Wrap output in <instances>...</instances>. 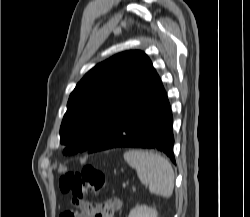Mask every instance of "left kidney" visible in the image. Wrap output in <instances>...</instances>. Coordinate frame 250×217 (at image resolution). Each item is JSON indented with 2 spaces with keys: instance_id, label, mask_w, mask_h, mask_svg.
Wrapping results in <instances>:
<instances>
[{
  "instance_id": "5707ae66",
  "label": "left kidney",
  "mask_w": 250,
  "mask_h": 217,
  "mask_svg": "<svg viewBox=\"0 0 250 217\" xmlns=\"http://www.w3.org/2000/svg\"><path fill=\"white\" fill-rule=\"evenodd\" d=\"M128 217H158V213L154 208L137 205L130 211Z\"/></svg>"
}]
</instances>
